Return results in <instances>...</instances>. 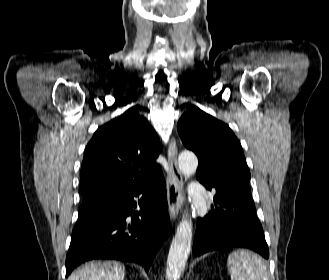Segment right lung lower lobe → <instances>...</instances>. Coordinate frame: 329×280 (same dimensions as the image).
<instances>
[{
  "instance_id": "1",
  "label": "right lung lower lobe",
  "mask_w": 329,
  "mask_h": 280,
  "mask_svg": "<svg viewBox=\"0 0 329 280\" xmlns=\"http://www.w3.org/2000/svg\"><path fill=\"white\" fill-rule=\"evenodd\" d=\"M141 196L135 201L134 197ZM137 206L140 211L133 210ZM132 216V222L127 220ZM170 234L163 175L141 184L101 190L83 200L66 257V277L92 259L135 262L148 272Z\"/></svg>"
}]
</instances>
